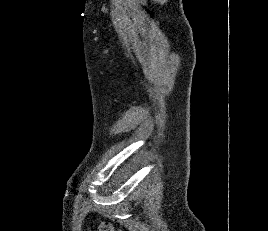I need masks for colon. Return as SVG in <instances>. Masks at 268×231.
<instances>
[{
  "mask_svg": "<svg viewBox=\"0 0 268 231\" xmlns=\"http://www.w3.org/2000/svg\"><path fill=\"white\" fill-rule=\"evenodd\" d=\"M90 231H119L115 230L109 221H102L97 226L91 227Z\"/></svg>",
  "mask_w": 268,
  "mask_h": 231,
  "instance_id": "1",
  "label": "colon"
}]
</instances>
